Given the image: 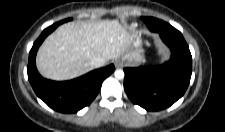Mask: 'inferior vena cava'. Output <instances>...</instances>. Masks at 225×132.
I'll return each instance as SVG.
<instances>
[{
	"label": "inferior vena cava",
	"instance_id": "obj_1",
	"mask_svg": "<svg viewBox=\"0 0 225 132\" xmlns=\"http://www.w3.org/2000/svg\"><path fill=\"white\" fill-rule=\"evenodd\" d=\"M105 64V60L101 57H96L90 61V66L92 68H99Z\"/></svg>",
	"mask_w": 225,
	"mask_h": 132
}]
</instances>
